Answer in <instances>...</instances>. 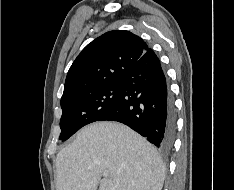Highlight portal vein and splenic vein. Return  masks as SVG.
Here are the masks:
<instances>
[{
	"instance_id": "18ae733b",
	"label": "portal vein and splenic vein",
	"mask_w": 234,
	"mask_h": 190,
	"mask_svg": "<svg viewBox=\"0 0 234 190\" xmlns=\"http://www.w3.org/2000/svg\"><path fill=\"white\" fill-rule=\"evenodd\" d=\"M108 175H109V171L106 170L103 172V176L107 177Z\"/></svg>"
}]
</instances>
